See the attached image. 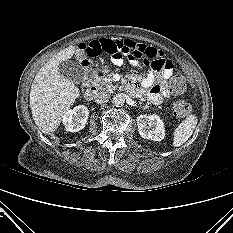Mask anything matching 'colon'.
<instances>
[{"label":"colon","instance_id":"colon-1","mask_svg":"<svg viewBox=\"0 0 233 233\" xmlns=\"http://www.w3.org/2000/svg\"><path fill=\"white\" fill-rule=\"evenodd\" d=\"M83 65L86 67L88 66L87 63H83ZM86 78L90 80L91 74L87 73ZM169 86L173 93L179 94V95L183 94L187 88L186 80L181 74L174 75L170 81ZM173 111L177 117H180V118L185 117L190 112V105L183 100H177L173 104Z\"/></svg>","mask_w":233,"mask_h":233}]
</instances>
